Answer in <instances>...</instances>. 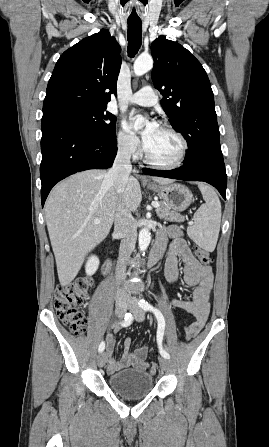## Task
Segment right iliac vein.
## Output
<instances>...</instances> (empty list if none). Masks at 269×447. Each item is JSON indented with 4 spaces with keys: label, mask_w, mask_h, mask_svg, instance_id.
I'll list each match as a JSON object with an SVG mask.
<instances>
[{
    "label": "right iliac vein",
    "mask_w": 269,
    "mask_h": 447,
    "mask_svg": "<svg viewBox=\"0 0 269 447\" xmlns=\"http://www.w3.org/2000/svg\"><path fill=\"white\" fill-rule=\"evenodd\" d=\"M127 303L124 299H117L116 300V309L115 313L118 318H123L126 312ZM108 355L106 352H101L97 357V363L99 367H102L107 362Z\"/></svg>",
    "instance_id": "63e3f726"
}]
</instances>
